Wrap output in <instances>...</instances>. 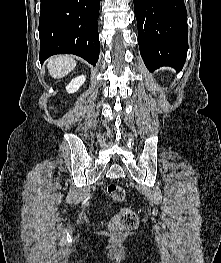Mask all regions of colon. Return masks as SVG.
I'll return each instance as SVG.
<instances>
[{
    "label": "colon",
    "instance_id": "1",
    "mask_svg": "<svg viewBox=\"0 0 221 263\" xmlns=\"http://www.w3.org/2000/svg\"><path fill=\"white\" fill-rule=\"evenodd\" d=\"M107 193L113 202H120L125 198V190L122 186L115 183L107 186ZM110 225L117 231L134 230L138 225L137 214L131 208H122L112 218Z\"/></svg>",
    "mask_w": 221,
    "mask_h": 263
}]
</instances>
